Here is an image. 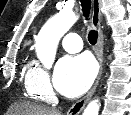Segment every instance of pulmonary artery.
I'll list each match as a JSON object with an SVG mask.
<instances>
[{
	"label": "pulmonary artery",
	"instance_id": "pulmonary-artery-1",
	"mask_svg": "<svg viewBox=\"0 0 131 115\" xmlns=\"http://www.w3.org/2000/svg\"><path fill=\"white\" fill-rule=\"evenodd\" d=\"M62 47L69 53L79 52L82 49V40L76 33H68L61 40Z\"/></svg>",
	"mask_w": 131,
	"mask_h": 115
}]
</instances>
